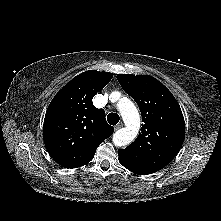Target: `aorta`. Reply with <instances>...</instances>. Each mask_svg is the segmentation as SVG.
Returning <instances> with one entry per match:
<instances>
[{"mask_svg": "<svg viewBox=\"0 0 221 221\" xmlns=\"http://www.w3.org/2000/svg\"><path fill=\"white\" fill-rule=\"evenodd\" d=\"M114 96L115 93H112ZM118 108L125 128H121L113 134L112 141L115 146L121 147L129 145L137 137L140 129V115L135 105L130 100H121Z\"/></svg>", "mask_w": 221, "mask_h": 221, "instance_id": "aorta-1", "label": "aorta"}]
</instances>
